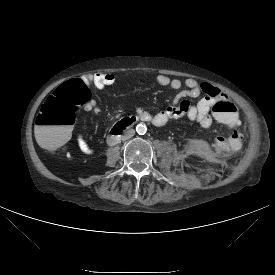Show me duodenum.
Returning a JSON list of instances; mask_svg holds the SVG:
<instances>
[{"instance_id":"1","label":"duodenum","mask_w":275,"mask_h":275,"mask_svg":"<svg viewBox=\"0 0 275 275\" xmlns=\"http://www.w3.org/2000/svg\"><path fill=\"white\" fill-rule=\"evenodd\" d=\"M140 119L136 116H129L121 119L120 121L116 122L112 128L110 129V132L107 137V143L108 145L112 146L117 144L119 141L121 135L128 130L130 127H132L137 121Z\"/></svg>"}]
</instances>
